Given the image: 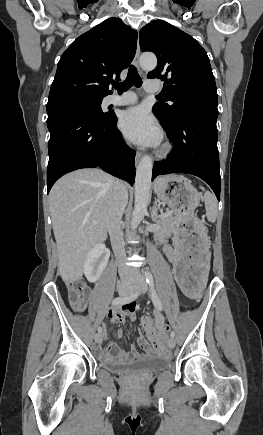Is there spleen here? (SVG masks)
Returning a JSON list of instances; mask_svg holds the SVG:
<instances>
[{"mask_svg": "<svg viewBox=\"0 0 263 435\" xmlns=\"http://www.w3.org/2000/svg\"><path fill=\"white\" fill-rule=\"evenodd\" d=\"M206 215L209 221H215L217 215V202L213 194L206 191L204 194Z\"/></svg>", "mask_w": 263, "mask_h": 435, "instance_id": "spleen-1", "label": "spleen"}]
</instances>
